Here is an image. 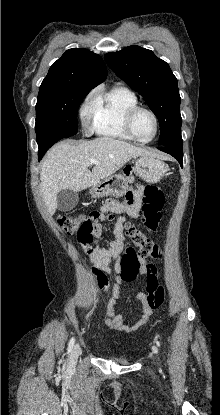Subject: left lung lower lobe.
<instances>
[{"mask_svg":"<svg viewBox=\"0 0 220 415\" xmlns=\"http://www.w3.org/2000/svg\"><path fill=\"white\" fill-rule=\"evenodd\" d=\"M158 149L172 155L175 159H177V161L180 163L182 167V162H183L182 145H166V146H161Z\"/></svg>","mask_w":220,"mask_h":415,"instance_id":"0a47b994","label":"left lung lower lobe"}]
</instances>
